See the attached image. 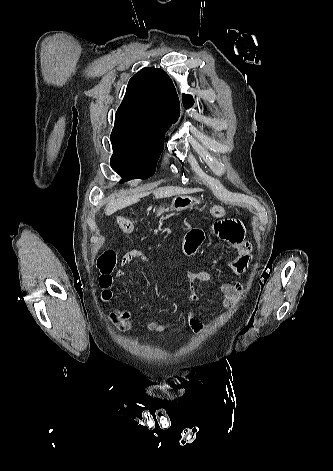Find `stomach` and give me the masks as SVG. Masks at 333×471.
Segmentation results:
<instances>
[{
	"label": "stomach",
	"instance_id": "stomach-1",
	"mask_svg": "<svg viewBox=\"0 0 333 471\" xmlns=\"http://www.w3.org/2000/svg\"><path fill=\"white\" fill-rule=\"evenodd\" d=\"M199 203H200V200L195 197H191L188 195H177L172 200L170 210L180 212L188 208H192L194 205L199 204ZM168 211H169V208H159L157 211V215H161Z\"/></svg>",
	"mask_w": 333,
	"mask_h": 471
}]
</instances>
